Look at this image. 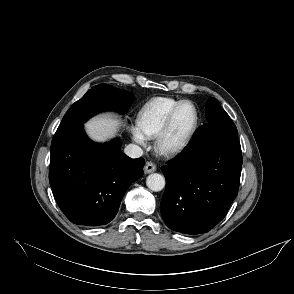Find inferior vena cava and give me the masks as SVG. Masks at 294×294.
<instances>
[{
	"instance_id": "inferior-vena-cava-1",
	"label": "inferior vena cava",
	"mask_w": 294,
	"mask_h": 294,
	"mask_svg": "<svg viewBox=\"0 0 294 294\" xmlns=\"http://www.w3.org/2000/svg\"><path fill=\"white\" fill-rule=\"evenodd\" d=\"M124 153L131 158H139L143 155V150L135 144H129L125 147Z\"/></svg>"
}]
</instances>
